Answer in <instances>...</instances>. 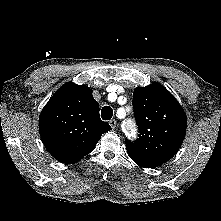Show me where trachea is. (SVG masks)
Returning <instances> with one entry per match:
<instances>
[{
	"mask_svg": "<svg viewBox=\"0 0 221 221\" xmlns=\"http://www.w3.org/2000/svg\"><path fill=\"white\" fill-rule=\"evenodd\" d=\"M113 116V110L110 106H104L101 110V117L103 120H110Z\"/></svg>",
	"mask_w": 221,
	"mask_h": 221,
	"instance_id": "3493384b",
	"label": "trachea"
}]
</instances>
